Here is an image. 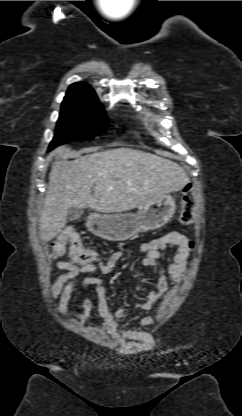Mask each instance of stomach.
Instances as JSON below:
<instances>
[{"label":"stomach","mask_w":242,"mask_h":416,"mask_svg":"<svg viewBox=\"0 0 242 416\" xmlns=\"http://www.w3.org/2000/svg\"><path fill=\"white\" fill-rule=\"evenodd\" d=\"M175 199L166 194L136 214L103 215L92 213L87 218L88 230L108 241H124L141 233L164 226L175 213Z\"/></svg>","instance_id":"stomach-1"}]
</instances>
